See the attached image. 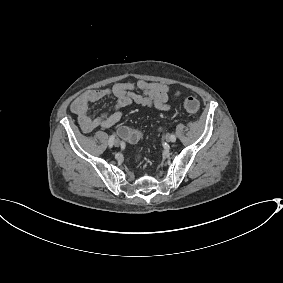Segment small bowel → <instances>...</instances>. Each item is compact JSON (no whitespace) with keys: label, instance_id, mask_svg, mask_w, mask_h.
Listing matches in <instances>:
<instances>
[{"label":"small bowel","instance_id":"obj_1","mask_svg":"<svg viewBox=\"0 0 283 283\" xmlns=\"http://www.w3.org/2000/svg\"><path fill=\"white\" fill-rule=\"evenodd\" d=\"M169 95V87L157 82L138 80L136 83H116L111 87L83 92L72 102L71 110L77 116L82 131L89 133L95 128L106 129L114 126L132 103L167 111L171 107ZM179 95V92H175L174 99H177ZM104 98L115 101L113 108L110 112L92 118L89 114V105Z\"/></svg>","mask_w":283,"mask_h":283}]
</instances>
